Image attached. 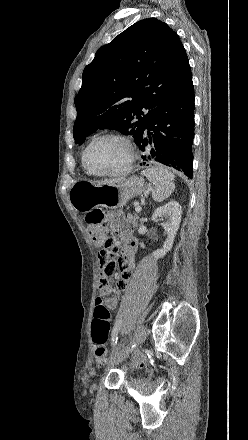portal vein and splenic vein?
Instances as JSON below:
<instances>
[{"mask_svg":"<svg viewBox=\"0 0 248 440\" xmlns=\"http://www.w3.org/2000/svg\"><path fill=\"white\" fill-rule=\"evenodd\" d=\"M141 210H142V207L137 203L136 207H135V211L136 212H141Z\"/></svg>","mask_w":248,"mask_h":440,"instance_id":"portal-vein-and-splenic-vein-1","label":"portal vein and splenic vein"}]
</instances>
